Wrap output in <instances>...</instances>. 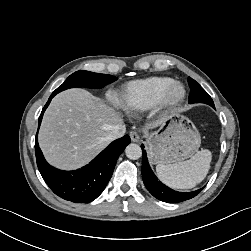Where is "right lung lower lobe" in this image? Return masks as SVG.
<instances>
[{
    "mask_svg": "<svg viewBox=\"0 0 251 251\" xmlns=\"http://www.w3.org/2000/svg\"><path fill=\"white\" fill-rule=\"evenodd\" d=\"M56 94V91L52 93L42 109L38 120V128L44 111ZM129 143L130 137L125 135L113 141L96 158L81 169L62 171L46 162L39 148L36 135L35 154L37 166L44 181L56 195L75 203H89L103 192L113 174L118 157Z\"/></svg>",
    "mask_w": 251,
    "mask_h": 251,
    "instance_id": "right-lung-lower-lobe-1",
    "label": "right lung lower lobe"
}]
</instances>
